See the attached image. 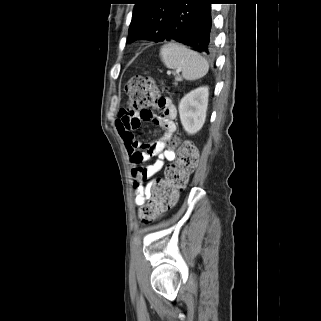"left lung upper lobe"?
<instances>
[{"instance_id": "obj_1", "label": "left lung upper lobe", "mask_w": 321, "mask_h": 321, "mask_svg": "<svg viewBox=\"0 0 321 321\" xmlns=\"http://www.w3.org/2000/svg\"><path fill=\"white\" fill-rule=\"evenodd\" d=\"M134 4L128 42L142 38L162 41L177 0H134Z\"/></svg>"}]
</instances>
